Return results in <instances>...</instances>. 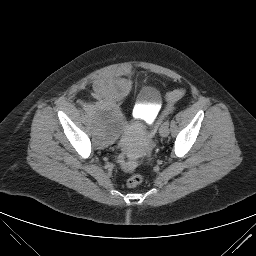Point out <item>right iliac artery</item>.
<instances>
[{
  "instance_id": "1",
  "label": "right iliac artery",
  "mask_w": 256,
  "mask_h": 256,
  "mask_svg": "<svg viewBox=\"0 0 256 256\" xmlns=\"http://www.w3.org/2000/svg\"><path fill=\"white\" fill-rule=\"evenodd\" d=\"M84 111H85L86 113H89V112L91 111V108H90L89 106H86V107L84 108Z\"/></svg>"
}]
</instances>
